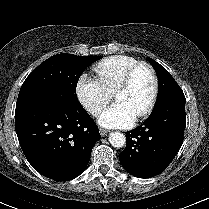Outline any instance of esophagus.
<instances>
[{
	"instance_id": "esophagus-1",
	"label": "esophagus",
	"mask_w": 209,
	"mask_h": 209,
	"mask_svg": "<svg viewBox=\"0 0 209 209\" xmlns=\"http://www.w3.org/2000/svg\"><path fill=\"white\" fill-rule=\"evenodd\" d=\"M99 132H100V135H101L102 137H104V136H106V135L108 134L109 131H107V130H105V129H100Z\"/></svg>"
}]
</instances>
